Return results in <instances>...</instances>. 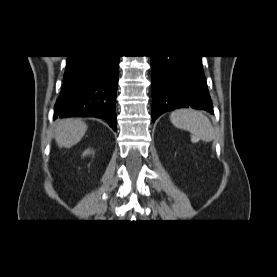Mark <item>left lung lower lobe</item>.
Returning a JSON list of instances; mask_svg holds the SVG:
<instances>
[{"label": "left lung lower lobe", "instance_id": "1", "mask_svg": "<svg viewBox=\"0 0 277 277\" xmlns=\"http://www.w3.org/2000/svg\"><path fill=\"white\" fill-rule=\"evenodd\" d=\"M152 121L181 107L213 113L201 56H151Z\"/></svg>", "mask_w": 277, "mask_h": 277}]
</instances>
